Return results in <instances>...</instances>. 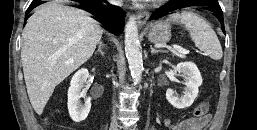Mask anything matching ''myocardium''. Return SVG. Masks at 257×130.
Wrapping results in <instances>:
<instances>
[{"mask_svg":"<svg viewBox=\"0 0 257 130\" xmlns=\"http://www.w3.org/2000/svg\"><path fill=\"white\" fill-rule=\"evenodd\" d=\"M153 5L159 4L165 0H149Z\"/></svg>","mask_w":257,"mask_h":130,"instance_id":"obj_1","label":"myocardium"}]
</instances>
